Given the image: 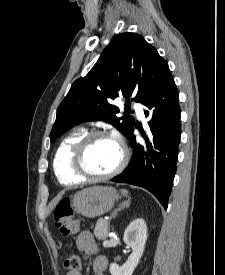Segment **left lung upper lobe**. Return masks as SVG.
I'll list each match as a JSON object with an SVG mask.
<instances>
[{
	"label": "left lung upper lobe",
	"mask_w": 225,
	"mask_h": 275,
	"mask_svg": "<svg viewBox=\"0 0 225 275\" xmlns=\"http://www.w3.org/2000/svg\"><path fill=\"white\" fill-rule=\"evenodd\" d=\"M168 69L167 61L141 35H116L90 72L72 84L57 109L50 140L81 122L94 120L108 122L126 135L135 119L129 113L117 117L119 109L111 100L136 95L134 100L141 102ZM128 107L127 100L125 110Z\"/></svg>",
	"instance_id": "obj_1"
}]
</instances>
